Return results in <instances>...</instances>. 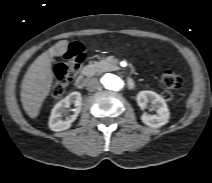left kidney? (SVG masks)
<instances>
[{"label":"left kidney","instance_id":"left-kidney-1","mask_svg":"<svg viewBox=\"0 0 212 183\" xmlns=\"http://www.w3.org/2000/svg\"><path fill=\"white\" fill-rule=\"evenodd\" d=\"M147 102H151L156 114L143 113L141 116L142 122L152 128H159L168 123L170 112L165 100L153 91L145 90L139 92L137 95L138 105L144 108Z\"/></svg>","mask_w":212,"mask_h":183}]
</instances>
